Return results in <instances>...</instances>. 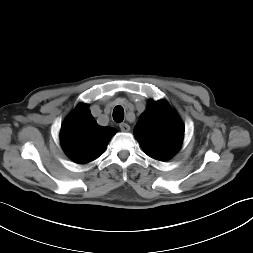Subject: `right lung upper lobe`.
<instances>
[{"label":"right lung upper lobe","instance_id":"1","mask_svg":"<svg viewBox=\"0 0 253 253\" xmlns=\"http://www.w3.org/2000/svg\"><path fill=\"white\" fill-rule=\"evenodd\" d=\"M88 107L87 104H79L64 121L60 132L65 153L80 164L98 158L116 133L114 128L99 126Z\"/></svg>","mask_w":253,"mask_h":253}]
</instances>
